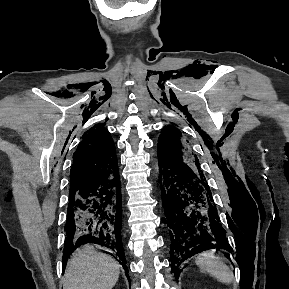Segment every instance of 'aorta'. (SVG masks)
Segmentation results:
<instances>
[{"mask_svg":"<svg viewBox=\"0 0 289 289\" xmlns=\"http://www.w3.org/2000/svg\"><path fill=\"white\" fill-rule=\"evenodd\" d=\"M155 170H156V172L158 171V166L157 165L155 166Z\"/></svg>","mask_w":289,"mask_h":289,"instance_id":"aorta-1","label":"aorta"}]
</instances>
